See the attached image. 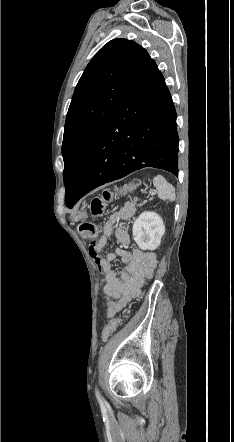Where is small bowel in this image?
I'll return each instance as SVG.
<instances>
[{
    "mask_svg": "<svg viewBox=\"0 0 234 442\" xmlns=\"http://www.w3.org/2000/svg\"><path fill=\"white\" fill-rule=\"evenodd\" d=\"M136 206L127 203L119 211L110 215L104 225L101 238L90 248V255L103 273L101 280L103 294L106 298L107 317L111 318L121 312L128 302L138 295L144 279L149 277L156 268V257L152 253H144L139 249H128L130 234L119 224L129 220L136 213ZM120 244L114 252L101 255L112 234ZM120 258L125 264L124 271L112 268V262Z\"/></svg>",
    "mask_w": 234,
    "mask_h": 442,
    "instance_id": "small-bowel-1",
    "label": "small bowel"
}]
</instances>
